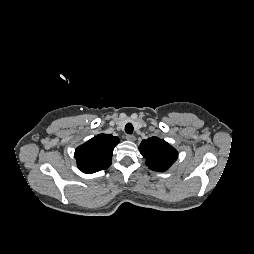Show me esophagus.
Returning <instances> with one entry per match:
<instances>
[{"mask_svg": "<svg viewBox=\"0 0 254 254\" xmlns=\"http://www.w3.org/2000/svg\"><path fill=\"white\" fill-rule=\"evenodd\" d=\"M126 139L128 140V141H135V136L134 135H126Z\"/></svg>", "mask_w": 254, "mask_h": 254, "instance_id": "obj_1", "label": "esophagus"}]
</instances>
